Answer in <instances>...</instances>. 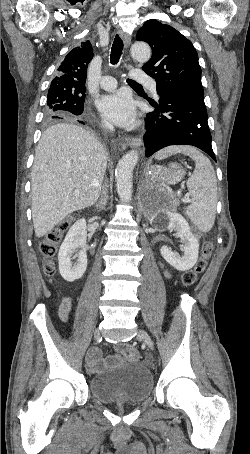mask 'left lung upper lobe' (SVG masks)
<instances>
[{
	"instance_id": "5c2ea615",
	"label": "left lung upper lobe",
	"mask_w": 250,
	"mask_h": 454,
	"mask_svg": "<svg viewBox=\"0 0 250 454\" xmlns=\"http://www.w3.org/2000/svg\"><path fill=\"white\" fill-rule=\"evenodd\" d=\"M136 39L152 48V57L142 69L157 81L159 95H204L197 52L181 33L150 19Z\"/></svg>"
}]
</instances>
